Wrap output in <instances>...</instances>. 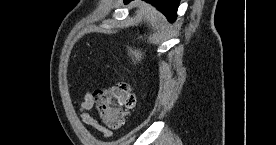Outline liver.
I'll return each instance as SVG.
<instances>
[{
	"mask_svg": "<svg viewBox=\"0 0 276 145\" xmlns=\"http://www.w3.org/2000/svg\"><path fill=\"white\" fill-rule=\"evenodd\" d=\"M134 6H138L137 14L144 17V19L150 24L152 28L158 29L161 23L164 22V17L150 4L143 1L133 2ZM128 55L131 56L134 64L140 62L143 58V53L140 50L132 49L128 47Z\"/></svg>",
	"mask_w": 276,
	"mask_h": 145,
	"instance_id": "obj_1",
	"label": "liver"
}]
</instances>
